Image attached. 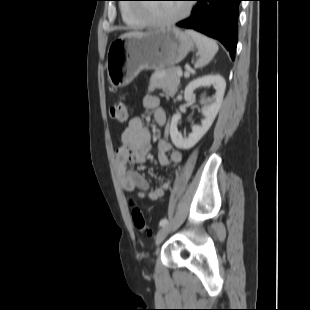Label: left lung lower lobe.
I'll use <instances>...</instances> for the list:
<instances>
[{"mask_svg":"<svg viewBox=\"0 0 310 310\" xmlns=\"http://www.w3.org/2000/svg\"><path fill=\"white\" fill-rule=\"evenodd\" d=\"M192 15L177 26L197 30L219 40L235 58L239 3L242 0H194Z\"/></svg>","mask_w":310,"mask_h":310,"instance_id":"left-lung-lower-lobe-1","label":"left lung lower lobe"}]
</instances>
